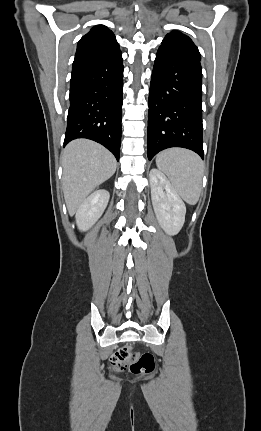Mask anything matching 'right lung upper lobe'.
Returning <instances> with one entry per match:
<instances>
[{
	"instance_id": "cb5924a9",
	"label": "right lung upper lobe",
	"mask_w": 261,
	"mask_h": 431,
	"mask_svg": "<svg viewBox=\"0 0 261 431\" xmlns=\"http://www.w3.org/2000/svg\"><path fill=\"white\" fill-rule=\"evenodd\" d=\"M118 50H120L119 44L113 32L104 25H97L80 39L76 55Z\"/></svg>"
}]
</instances>
